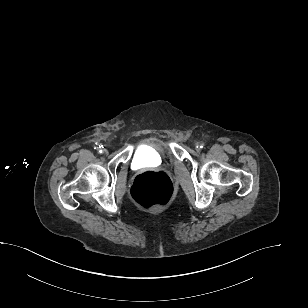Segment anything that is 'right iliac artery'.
I'll use <instances>...</instances> for the list:
<instances>
[{"mask_svg": "<svg viewBox=\"0 0 308 308\" xmlns=\"http://www.w3.org/2000/svg\"><path fill=\"white\" fill-rule=\"evenodd\" d=\"M95 149H97L100 153H102V151H103V146H97V147H95Z\"/></svg>", "mask_w": 308, "mask_h": 308, "instance_id": "right-iliac-artery-1", "label": "right iliac artery"}]
</instances>
